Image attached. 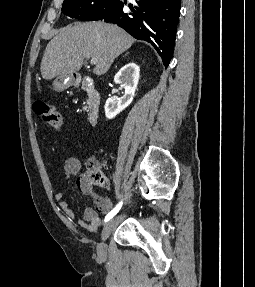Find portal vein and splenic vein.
<instances>
[{
	"mask_svg": "<svg viewBox=\"0 0 255 287\" xmlns=\"http://www.w3.org/2000/svg\"><path fill=\"white\" fill-rule=\"evenodd\" d=\"M98 60L97 58H91L90 64H97Z\"/></svg>",
	"mask_w": 255,
	"mask_h": 287,
	"instance_id": "obj_1",
	"label": "portal vein and splenic vein"
}]
</instances>
